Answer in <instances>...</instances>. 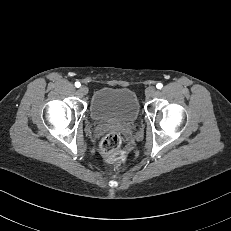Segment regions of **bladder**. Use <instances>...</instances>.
I'll list each match as a JSON object with an SVG mask.
<instances>
[{"mask_svg": "<svg viewBox=\"0 0 231 231\" xmlns=\"http://www.w3.org/2000/svg\"><path fill=\"white\" fill-rule=\"evenodd\" d=\"M89 111L97 123L131 124L139 116V103L129 88L103 87L94 92Z\"/></svg>", "mask_w": 231, "mask_h": 231, "instance_id": "bladder-1", "label": "bladder"}]
</instances>
